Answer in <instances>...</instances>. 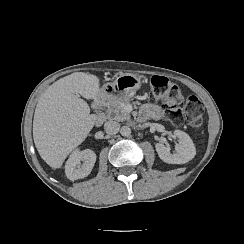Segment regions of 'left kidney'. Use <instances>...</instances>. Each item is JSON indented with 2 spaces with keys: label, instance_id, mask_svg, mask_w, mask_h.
Returning <instances> with one entry per match:
<instances>
[{
  "label": "left kidney",
  "instance_id": "5707ae66",
  "mask_svg": "<svg viewBox=\"0 0 244 244\" xmlns=\"http://www.w3.org/2000/svg\"><path fill=\"white\" fill-rule=\"evenodd\" d=\"M173 135L179 139V143L175 145L176 153H170L169 146L157 143L155 147L160 159L169 164H184L192 160L196 155V148L190 136L181 130H175Z\"/></svg>",
  "mask_w": 244,
  "mask_h": 244
}]
</instances>
